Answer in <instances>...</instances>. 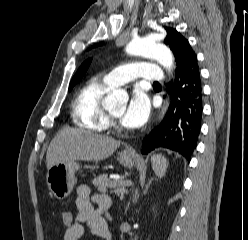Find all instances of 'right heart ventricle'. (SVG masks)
I'll return each instance as SVG.
<instances>
[{
  "instance_id": "e07e8e85",
  "label": "right heart ventricle",
  "mask_w": 248,
  "mask_h": 240,
  "mask_svg": "<svg viewBox=\"0 0 248 240\" xmlns=\"http://www.w3.org/2000/svg\"><path fill=\"white\" fill-rule=\"evenodd\" d=\"M111 88L105 80L93 78L78 92L73 103L75 125L92 131H102L108 127L103 97Z\"/></svg>"
}]
</instances>
